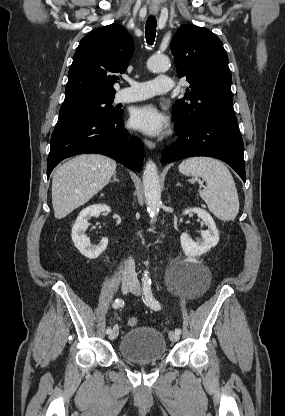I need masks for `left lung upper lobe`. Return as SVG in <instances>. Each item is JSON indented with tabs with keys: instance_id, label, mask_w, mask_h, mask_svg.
<instances>
[{
	"instance_id": "left-lung-upper-lobe-1",
	"label": "left lung upper lobe",
	"mask_w": 285,
	"mask_h": 416,
	"mask_svg": "<svg viewBox=\"0 0 285 416\" xmlns=\"http://www.w3.org/2000/svg\"><path fill=\"white\" fill-rule=\"evenodd\" d=\"M178 76L190 83L185 97L173 106L177 127L213 116H234L232 77L221 40L210 30L182 25L171 41Z\"/></svg>"
}]
</instances>
